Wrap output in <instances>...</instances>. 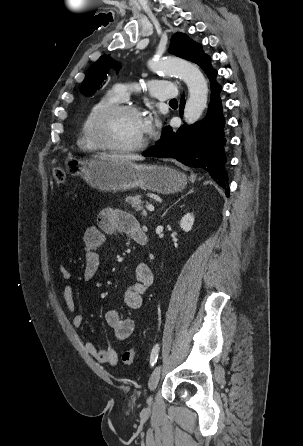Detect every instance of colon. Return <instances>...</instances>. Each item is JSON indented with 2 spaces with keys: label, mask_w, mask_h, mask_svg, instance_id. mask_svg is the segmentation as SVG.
Returning <instances> with one entry per match:
<instances>
[{
  "label": "colon",
  "mask_w": 303,
  "mask_h": 446,
  "mask_svg": "<svg viewBox=\"0 0 303 446\" xmlns=\"http://www.w3.org/2000/svg\"><path fill=\"white\" fill-rule=\"evenodd\" d=\"M53 177L58 185H60V186L66 185L67 174L63 170H61L59 168H55L53 170ZM135 357H136V350L134 348H129L123 352L122 362L125 365H130L133 363Z\"/></svg>",
  "instance_id": "1"
}]
</instances>
